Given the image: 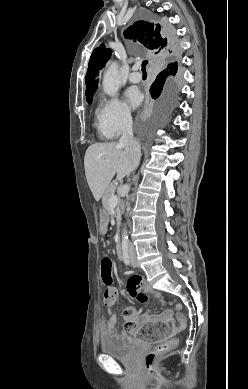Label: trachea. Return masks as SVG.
Instances as JSON below:
<instances>
[{
	"label": "trachea",
	"mask_w": 248,
	"mask_h": 389,
	"mask_svg": "<svg viewBox=\"0 0 248 389\" xmlns=\"http://www.w3.org/2000/svg\"><path fill=\"white\" fill-rule=\"evenodd\" d=\"M148 64V61L147 60H144L143 62H142V71H143V73H146V65Z\"/></svg>",
	"instance_id": "obj_1"
}]
</instances>
